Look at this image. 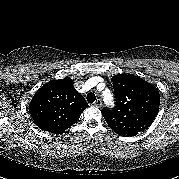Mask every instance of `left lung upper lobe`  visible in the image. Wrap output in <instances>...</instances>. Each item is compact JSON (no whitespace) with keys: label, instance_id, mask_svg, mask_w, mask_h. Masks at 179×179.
Instances as JSON below:
<instances>
[{"label":"left lung upper lobe","instance_id":"5c2ea615","mask_svg":"<svg viewBox=\"0 0 179 179\" xmlns=\"http://www.w3.org/2000/svg\"><path fill=\"white\" fill-rule=\"evenodd\" d=\"M116 105L101 112L111 129L124 137L135 136L147 129L155 119L160 105L158 89L135 75L112 77Z\"/></svg>","mask_w":179,"mask_h":179}]
</instances>
